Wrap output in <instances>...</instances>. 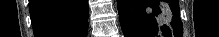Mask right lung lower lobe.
Segmentation results:
<instances>
[{
  "label": "right lung lower lobe",
  "mask_w": 219,
  "mask_h": 37,
  "mask_svg": "<svg viewBox=\"0 0 219 37\" xmlns=\"http://www.w3.org/2000/svg\"><path fill=\"white\" fill-rule=\"evenodd\" d=\"M35 37H86L87 0H30Z\"/></svg>",
  "instance_id": "98d812e1"
}]
</instances>
